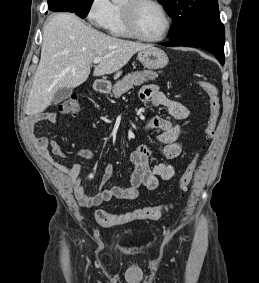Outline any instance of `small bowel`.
Returning a JSON list of instances; mask_svg holds the SVG:
<instances>
[{
  "instance_id": "1",
  "label": "small bowel",
  "mask_w": 259,
  "mask_h": 283,
  "mask_svg": "<svg viewBox=\"0 0 259 283\" xmlns=\"http://www.w3.org/2000/svg\"><path fill=\"white\" fill-rule=\"evenodd\" d=\"M139 99L144 103L150 101L153 106H165L177 120H184L189 115V109L185 105L170 99L153 85L144 86L139 92ZM57 120V115L52 112L36 114L27 120L26 129L42 157L66 178L75 197L82 206L94 207L113 199L132 201L137 198L140 187L154 190L158 186L159 179L170 180L176 174L173 165L161 162L150 167L149 160L154 152L159 153L165 161L178 157L182 151V146L179 142L181 128L168 119L158 116L152 117L147 122L146 128L158 131L156 140L159 143V147L151 149L147 146L139 145L132 150L129 156L130 162L133 165L130 186L126 188L111 186L108 189H100L96 195L90 196L82 185L81 166L77 163L62 164L56 162L53 155L64 157L66 152L61 149L57 141H49L47 138L35 134L37 123L41 121L56 123ZM74 153L87 160H92L95 157V153L92 150L85 148L75 149ZM89 178L92 179L93 176H89ZM115 178L114 169L111 164H108L101 178L100 187L113 183Z\"/></svg>"
}]
</instances>
